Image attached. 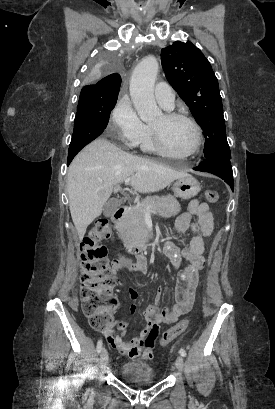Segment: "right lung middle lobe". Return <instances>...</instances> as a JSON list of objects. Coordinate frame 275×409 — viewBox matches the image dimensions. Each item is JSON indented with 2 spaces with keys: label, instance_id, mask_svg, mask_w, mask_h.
Instances as JSON below:
<instances>
[{
  "label": "right lung middle lobe",
  "instance_id": "dd1d6c3e",
  "mask_svg": "<svg viewBox=\"0 0 275 409\" xmlns=\"http://www.w3.org/2000/svg\"><path fill=\"white\" fill-rule=\"evenodd\" d=\"M122 59L115 50H96L92 57L88 76L83 77L84 85H99L106 73H120ZM117 98H92L80 95L74 131L68 150L67 164L88 143L102 134L109 121L110 112Z\"/></svg>",
  "mask_w": 275,
  "mask_h": 409
}]
</instances>
